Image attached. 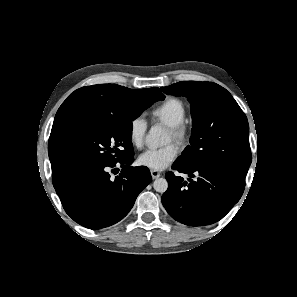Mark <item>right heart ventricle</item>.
<instances>
[{
	"mask_svg": "<svg viewBox=\"0 0 297 297\" xmlns=\"http://www.w3.org/2000/svg\"><path fill=\"white\" fill-rule=\"evenodd\" d=\"M186 115L187 111L184 103L175 97L165 99L151 111V117L154 121L168 127L184 123Z\"/></svg>",
	"mask_w": 297,
	"mask_h": 297,
	"instance_id": "1",
	"label": "right heart ventricle"
}]
</instances>
